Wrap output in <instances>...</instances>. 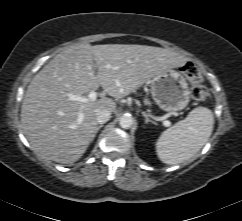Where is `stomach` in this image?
I'll list each match as a JSON object with an SVG mask.
<instances>
[{
    "mask_svg": "<svg viewBox=\"0 0 242 221\" xmlns=\"http://www.w3.org/2000/svg\"><path fill=\"white\" fill-rule=\"evenodd\" d=\"M150 91L156 104L166 112L180 111L190 101V91L181 71L169 69L149 81Z\"/></svg>",
    "mask_w": 242,
    "mask_h": 221,
    "instance_id": "stomach-1",
    "label": "stomach"
}]
</instances>
